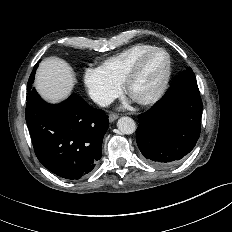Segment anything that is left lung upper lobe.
Wrapping results in <instances>:
<instances>
[{
    "instance_id": "5c2ea615",
    "label": "left lung upper lobe",
    "mask_w": 232,
    "mask_h": 232,
    "mask_svg": "<svg viewBox=\"0 0 232 232\" xmlns=\"http://www.w3.org/2000/svg\"><path fill=\"white\" fill-rule=\"evenodd\" d=\"M173 80L176 81L182 89L199 90L196 84L195 74L190 67L177 75Z\"/></svg>"
}]
</instances>
